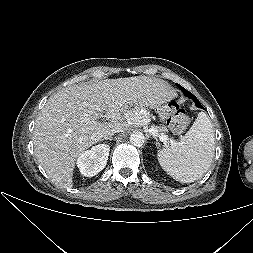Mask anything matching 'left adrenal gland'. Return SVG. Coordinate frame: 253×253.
Masks as SVG:
<instances>
[{"mask_svg":"<svg viewBox=\"0 0 253 253\" xmlns=\"http://www.w3.org/2000/svg\"><path fill=\"white\" fill-rule=\"evenodd\" d=\"M155 139H156V145L159 144V143H158V139H157L156 137H155Z\"/></svg>","mask_w":253,"mask_h":253,"instance_id":"1","label":"left adrenal gland"}]
</instances>
